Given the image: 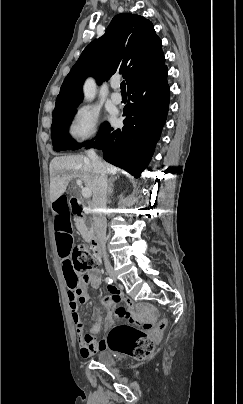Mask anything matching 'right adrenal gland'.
<instances>
[{
  "label": "right adrenal gland",
  "instance_id": "1",
  "mask_svg": "<svg viewBox=\"0 0 243 404\" xmlns=\"http://www.w3.org/2000/svg\"><path fill=\"white\" fill-rule=\"evenodd\" d=\"M115 180H117L116 176H111L108 184L107 196H111V194H113Z\"/></svg>",
  "mask_w": 243,
  "mask_h": 404
}]
</instances>
